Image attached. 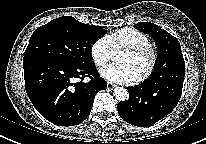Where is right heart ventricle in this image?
<instances>
[{
  "label": "right heart ventricle",
  "instance_id": "e07e8e85",
  "mask_svg": "<svg viewBox=\"0 0 206 144\" xmlns=\"http://www.w3.org/2000/svg\"><path fill=\"white\" fill-rule=\"evenodd\" d=\"M112 49L149 44V38L142 32L131 27L118 29L106 36Z\"/></svg>",
  "mask_w": 206,
  "mask_h": 144
}]
</instances>
